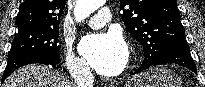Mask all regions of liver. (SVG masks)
<instances>
[{
  "label": "liver",
  "instance_id": "obj_1",
  "mask_svg": "<svg viewBox=\"0 0 205 87\" xmlns=\"http://www.w3.org/2000/svg\"><path fill=\"white\" fill-rule=\"evenodd\" d=\"M3 87H76V84L51 67L31 64L13 72Z\"/></svg>",
  "mask_w": 205,
  "mask_h": 87
}]
</instances>
